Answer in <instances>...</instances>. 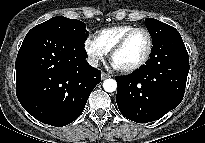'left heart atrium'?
Returning <instances> with one entry per match:
<instances>
[{
  "mask_svg": "<svg viewBox=\"0 0 205 143\" xmlns=\"http://www.w3.org/2000/svg\"><path fill=\"white\" fill-rule=\"evenodd\" d=\"M113 66H114L115 68H118L114 63H113Z\"/></svg>",
  "mask_w": 205,
  "mask_h": 143,
  "instance_id": "1",
  "label": "left heart atrium"
}]
</instances>
